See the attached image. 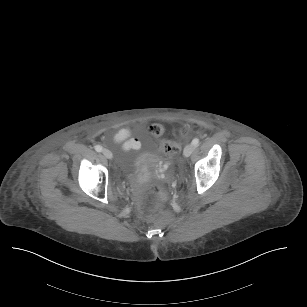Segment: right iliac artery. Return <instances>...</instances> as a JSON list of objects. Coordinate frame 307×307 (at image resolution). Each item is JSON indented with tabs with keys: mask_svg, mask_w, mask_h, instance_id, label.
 I'll list each match as a JSON object with an SVG mask.
<instances>
[{
	"mask_svg": "<svg viewBox=\"0 0 307 307\" xmlns=\"http://www.w3.org/2000/svg\"><path fill=\"white\" fill-rule=\"evenodd\" d=\"M95 150H96L97 152H102V151H103V148H102L100 145H96V146H95Z\"/></svg>",
	"mask_w": 307,
	"mask_h": 307,
	"instance_id": "obj_1",
	"label": "right iliac artery"
}]
</instances>
